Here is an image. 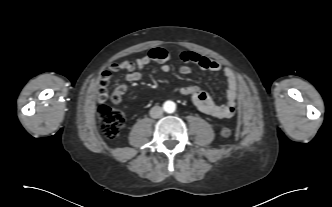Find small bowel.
<instances>
[{"instance_id":"small-bowel-1","label":"small bowel","mask_w":332,"mask_h":207,"mask_svg":"<svg viewBox=\"0 0 332 207\" xmlns=\"http://www.w3.org/2000/svg\"><path fill=\"white\" fill-rule=\"evenodd\" d=\"M179 59L185 63L180 67V73L187 75L190 73L188 63H193L203 70L218 72L222 66L216 60L210 59L200 55L194 51H184L179 54ZM170 55L163 48H154L146 55L135 59L134 61L124 60L121 62L112 63L109 68L101 73L100 83L102 86L106 85L113 73L125 70L127 74L126 80L129 82L139 81L142 78L141 71L150 64H157L160 70L164 73H169L171 68L169 66ZM223 74L226 78L228 89L226 100L223 103L214 102L210 96L201 88L197 86H175L174 91H178L182 95L190 96L194 105L204 114L217 119L230 118L234 115L236 108V101L238 97V81L235 72L231 68H224ZM126 90V86L120 85L117 88V93L122 94ZM100 98V94H99Z\"/></svg>"}]
</instances>
